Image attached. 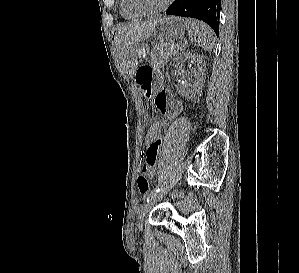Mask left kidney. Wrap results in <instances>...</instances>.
Wrapping results in <instances>:
<instances>
[{"mask_svg": "<svg viewBox=\"0 0 299 273\" xmlns=\"http://www.w3.org/2000/svg\"><path fill=\"white\" fill-rule=\"evenodd\" d=\"M190 59L196 64V69H193L192 71V76L195 80L192 81V84L182 82L177 86L179 93L186 97H192L199 94L204 86V68L206 63L202 56L190 52L181 53L175 59L176 69L181 70L184 62Z\"/></svg>", "mask_w": 299, "mask_h": 273, "instance_id": "5707ae66", "label": "left kidney"}]
</instances>
